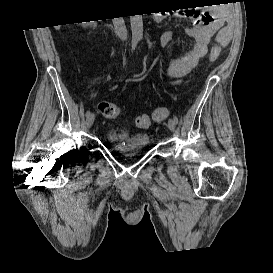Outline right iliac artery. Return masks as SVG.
Returning <instances> with one entry per match:
<instances>
[{
  "label": "right iliac artery",
  "mask_w": 273,
  "mask_h": 273,
  "mask_svg": "<svg viewBox=\"0 0 273 273\" xmlns=\"http://www.w3.org/2000/svg\"><path fill=\"white\" fill-rule=\"evenodd\" d=\"M135 48H136V43H132V52L135 50ZM89 114H90V110L86 112V116H88Z\"/></svg>",
  "instance_id": "right-iliac-artery-1"
}]
</instances>
